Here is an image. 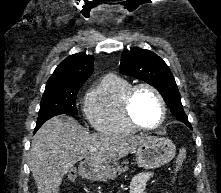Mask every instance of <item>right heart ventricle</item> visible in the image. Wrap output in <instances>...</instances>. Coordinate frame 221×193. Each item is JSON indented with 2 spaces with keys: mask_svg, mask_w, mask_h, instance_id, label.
Masks as SVG:
<instances>
[{
  "mask_svg": "<svg viewBox=\"0 0 221 193\" xmlns=\"http://www.w3.org/2000/svg\"><path fill=\"white\" fill-rule=\"evenodd\" d=\"M131 86L126 79L108 75L87 96L84 113L95 130L106 134H133L137 131L128 122L123 107L125 95Z\"/></svg>",
  "mask_w": 221,
  "mask_h": 193,
  "instance_id": "obj_1",
  "label": "right heart ventricle"
}]
</instances>
